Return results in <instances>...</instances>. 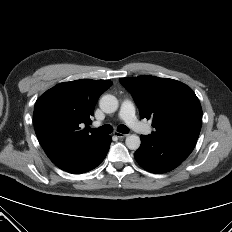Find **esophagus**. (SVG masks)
<instances>
[{"mask_svg": "<svg viewBox=\"0 0 232 232\" xmlns=\"http://www.w3.org/2000/svg\"><path fill=\"white\" fill-rule=\"evenodd\" d=\"M113 134H114V136H116L118 138H125V137L128 136L127 134H123V133H120V132H117V131H115Z\"/></svg>", "mask_w": 232, "mask_h": 232, "instance_id": "34e87169", "label": "esophagus"}]
</instances>
